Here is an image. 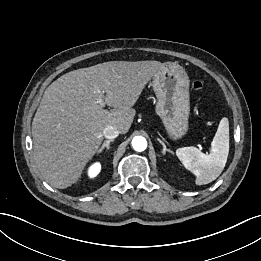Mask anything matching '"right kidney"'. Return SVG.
Here are the masks:
<instances>
[{
  "label": "right kidney",
  "instance_id": "right-kidney-1",
  "mask_svg": "<svg viewBox=\"0 0 261 261\" xmlns=\"http://www.w3.org/2000/svg\"><path fill=\"white\" fill-rule=\"evenodd\" d=\"M100 170H101V164L96 162L89 167L88 176L90 178H94L99 174Z\"/></svg>",
  "mask_w": 261,
  "mask_h": 261
}]
</instances>
